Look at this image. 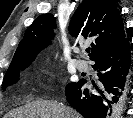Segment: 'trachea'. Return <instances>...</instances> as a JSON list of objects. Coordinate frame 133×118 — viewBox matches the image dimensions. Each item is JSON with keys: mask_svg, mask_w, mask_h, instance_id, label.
Returning <instances> with one entry per match:
<instances>
[{"mask_svg": "<svg viewBox=\"0 0 133 118\" xmlns=\"http://www.w3.org/2000/svg\"><path fill=\"white\" fill-rule=\"evenodd\" d=\"M86 52H87V53H90V48H87V49H86Z\"/></svg>", "mask_w": 133, "mask_h": 118, "instance_id": "obj_1", "label": "trachea"}]
</instances>
